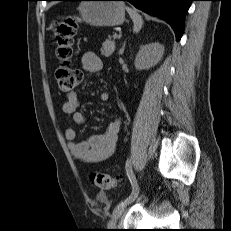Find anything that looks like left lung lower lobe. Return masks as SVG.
I'll return each instance as SVG.
<instances>
[{
    "label": "left lung lower lobe",
    "instance_id": "0a47b994",
    "mask_svg": "<svg viewBox=\"0 0 231 231\" xmlns=\"http://www.w3.org/2000/svg\"><path fill=\"white\" fill-rule=\"evenodd\" d=\"M128 1L143 12L165 20L175 32L176 40H180L185 14L193 0H120Z\"/></svg>",
    "mask_w": 231,
    "mask_h": 231
}]
</instances>
